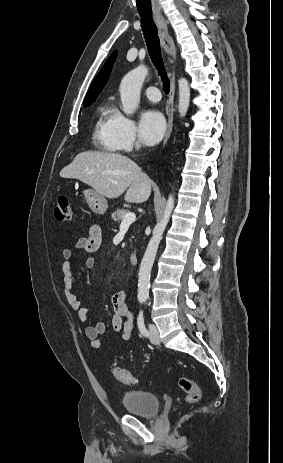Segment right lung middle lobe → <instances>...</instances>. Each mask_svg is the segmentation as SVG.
Wrapping results in <instances>:
<instances>
[{"instance_id":"obj_1","label":"right lung middle lobe","mask_w":283,"mask_h":463,"mask_svg":"<svg viewBox=\"0 0 283 463\" xmlns=\"http://www.w3.org/2000/svg\"><path fill=\"white\" fill-rule=\"evenodd\" d=\"M87 106H89V105H84V107H87Z\"/></svg>"}]
</instances>
